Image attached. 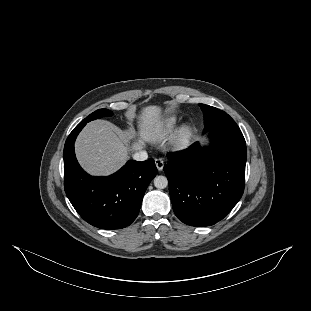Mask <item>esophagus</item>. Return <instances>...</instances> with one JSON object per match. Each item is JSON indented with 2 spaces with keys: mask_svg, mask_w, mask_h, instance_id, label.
Instances as JSON below:
<instances>
[{
  "mask_svg": "<svg viewBox=\"0 0 311 311\" xmlns=\"http://www.w3.org/2000/svg\"><path fill=\"white\" fill-rule=\"evenodd\" d=\"M155 165L159 171H162L164 167V161L161 158H156Z\"/></svg>",
  "mask_w": 311,
  "mask_h": 311,
  "instance_id": "34e87169",
  "label": "esophagus"
}]
</instances>
